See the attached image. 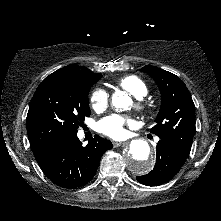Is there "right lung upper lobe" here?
Here are the masks:
<instances>
[{
  "label": "right lung upper lobe",
  "instance_id": "cb5924a9",
  "mask_svg": "<svg viewBox=\"0 0 221 221\" xmlns=\"http://www.w3.org/2000/svg\"><path fill=\"white\" fill-rule=\"evenodd\" d=\"M55 75H69V76H86L90 74H94L89 69L85 67L78 66L76 64L65 66L54 73Z\"/></svg>",
  "mask_w": 221,
  "mask_h": 221
}]
</instances>
